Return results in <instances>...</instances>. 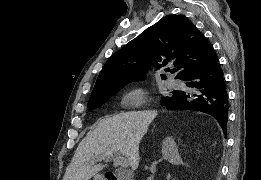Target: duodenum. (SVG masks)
<instances>
[{
	"label": "duodenum",
	"instance_id": "obj_1",
	"mask_svg": "<svg viewBox=\"0 0 261 180\" xmlns=\"http://www.w3.org/2000/svg\"><path fill=\"white\" fill-rule=\"evenodd\" d=\"M104 180H124L120 173H107Z\"/></svg>",
	"mask_w": 261,
	"mask_h": 180
}]
</instances>
